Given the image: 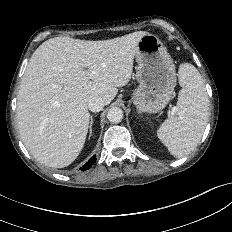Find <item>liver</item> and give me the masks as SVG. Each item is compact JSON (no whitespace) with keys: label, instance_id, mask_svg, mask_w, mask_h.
<instances>
[{"label":"liver","instance_id":"obj_1","mask_svg":"<svg viewBox=\"0 0 232 232\" xmlns=\"http://www.w3.org/2000/svg\"><path fill=\"white\" fill-rule=\"evenodd\" d=\"M146 31L88 41L54 37L32 54L17 97V124L30 154L52 168L70 165L88 132V101L108 105L131 79Z\"/></svg>","mask_w":232,"mask_h":232}]
</instances>
